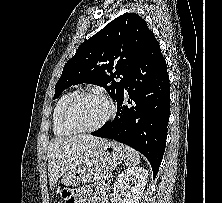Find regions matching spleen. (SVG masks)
<instances>
[{
  "label": "spleen",
  "instance_id": "1",
  "mask_svg": "<svg viewBox=\"0 0 222 203\" xmlns=\"http://www.w3.org/2000/svg\"><path fill=\"white\" fill-rule=\"evenodd\" d=\"M126 160L125 163L128 166H135L140 163L139 153L131 147L126 146Z\"/></svg>",
  "mask_w": 222,
  "mask_h": 203
}]
</instances>
